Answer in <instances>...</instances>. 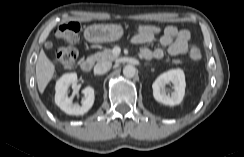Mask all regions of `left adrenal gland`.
<instances>
[{
	"label": "left adrenal gland",
	"mask_w": 244,
	"mask_h": 157,
	"mask_svg": "<svg viewBox=\"0 0 244 157\" xmlns=\"http://www.w3.org/2000/svg\"><path fill=\"white\" fill-rule=\"evenodd\" d=\"M144 65L147 66V65H150V64L149 63H145Z\"/></svg>",
	"instance_id": "left-adrenal-gland-1"
}]
</instances>
